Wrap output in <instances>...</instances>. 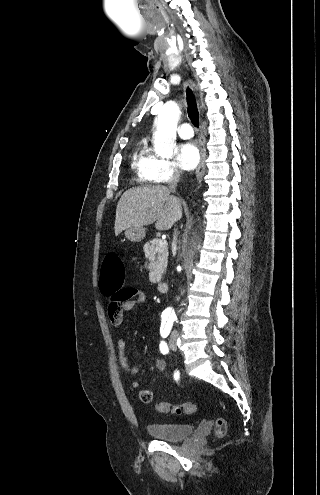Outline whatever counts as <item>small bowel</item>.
I'll return each mask as SVG.
<instances>
[{"instance_id": "c3829d8e", "label": "small bowel", "mask_w": 320, "mask_h": 495, "mask_svg": "<svg viewBox=\"0 0 320 495\" xmlns=\"http://www.w3.org/2000/svg\"><path fill=\"white\" fill-rule=\"evenodd\" d=\"M121 290L127 294V298L122 303H119L116 293L109 295L108 302L109 320L113 328L116 330H120L125 312H129L138 305L146 302V292L142 289L124 287ZM117 347L121 367L129 375H136L139 369L137 366L130 364V361L126 355V342L122 337H119ZM154 364L159 371H162L165 368V362L163 359H156ZM131 386L132 388L137 389L140 384L138 381L134 380L131 382Z\"/></svg>"}]
</instances>
